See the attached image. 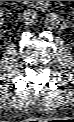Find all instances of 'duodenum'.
<instances>
[{"label":"duodenum","mask_w":74,"mask_h":122,"mask_svg":"<svg viewBox=\"0 0 74 122\" xmlns=\"http://www.w3.org/2000/svg\"><path fill=\"white\" fill-rule=\"evenodd\" d=\"M25 3H27V4H31L32 2H29V1H24Z\"/></svg>","instance_id":"obj_1"}]
</instances>
